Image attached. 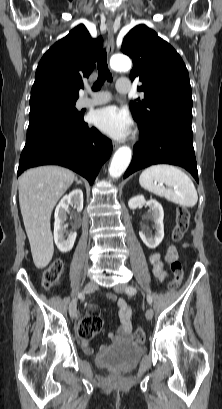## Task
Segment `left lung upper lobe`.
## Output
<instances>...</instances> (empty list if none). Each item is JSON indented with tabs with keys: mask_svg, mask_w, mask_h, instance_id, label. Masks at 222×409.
<instances>
[{
	"mask_svg": "<svg viewBox=\"0 0 222 409\" xmlns=\"http://www.w3.org/2000/svg\"><path fill=\"white\" fill-rule=\"evenodd\" d=\"M122 52L133 59L132 81L144 99L130 102L139 125L167 117L192 122V92L187 68L175 49L146 25L134 27L125 36Z\"/></svg>",
	"mask_w": 222,
	"mask_h": 409,
	"instance_id": "5c2ea615",
	"label": "left lung upper lobe"
}]
</instances>
